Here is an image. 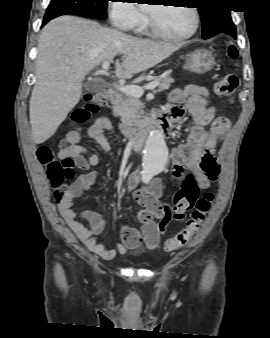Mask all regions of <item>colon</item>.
<instances>
[{"label":"colon","mask_w":270,"mask_h":338,"mask_svg":"<svg viewBox=\"0 0 270 338\" xmlns=\"http://www.w3.org/2000/svg\"><path fill=\"white\" fill-rule=\"evenodd\" d=\"M227 56L236 60L238 50L234 44H228L225 47ZM238 85V78L233 74L226 75L215 86L214 91L217 95L232 99ZM108 105L107 96L103 93H94L88 95L85 104L77 108L73 113V120L76 123H84L91 114H94L101 107ZM213 127L218 130H226L229 122L226 118H218ZM64 146L69 148L72 146L69 142H64ZM38 161L46 167L47 178L51 188L59 191L66 186V183L74 177V162L71 158L66 157L62 160L53 158L52 151L47 147H41L37 153ZM201 169L211 179H216L219 171L216 160L212 157L210 149H205L201 161ZM213 195L205 193L199 196L196 188L189 187L179 191L174 198L173 207L165 206L164 211L167 219L181 220L186 211L195 207L191 217L186 222L185 227L180 230L174 237L167 239L163 244L165 252H172L181 246L187 244L201 228L211 206ZM152 218L150 214L143 211L140 213L142 221H149Z\"/></svg>","instance_id":"obj_1"}]
</instances>
